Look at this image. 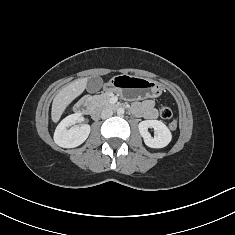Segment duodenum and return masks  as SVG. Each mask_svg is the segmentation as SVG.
Returning a JSON list of instances; mask_svg holds the SVG:
<instances>
[{
	"label": "duodenum",
	"mask_w": 235,
	"mask_h": 235,
	"mask_svg": "<svg viewBox=\"0 0 235 235\" xmlns=\"http://www.w3.org/2000/svg\"><path fill=\"white\" fill-rule=\"evenodd\" d=\"M75 111L77 113H92L93 116H97V113L92 109L91 99L89 97L83 98L75 105Z\"/></svg>",
	"instance_id": "410a0bca"
}]
</instances>
